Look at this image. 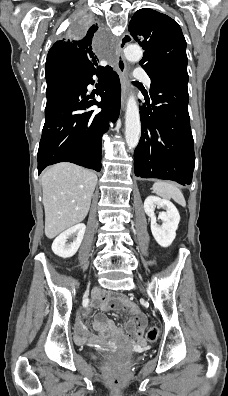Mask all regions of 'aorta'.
<instances>
[{"instance_id": "aorta-1", "label": "aorta", "mask_w": 228, "mask_h": 396, "mask_svg": "<svg viewBox=\"0 0 228 396\" xmlns=\"http://www.w3.org/2000/svg\"><path fill=\"white\" fill-rule=\"evenodd\" d=\"M124 54L128 61L135 62L141 60L143 51L137 45H128L124 50ZM140 134L141 122L139 108L135 96L130 95L127 100L125 114V140L130 149L138 145Z\"/></svg>"}]
</instances>
